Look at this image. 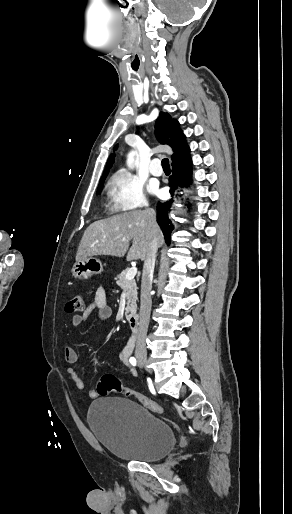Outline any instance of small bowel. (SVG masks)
<instances>
[{
	"mask_svg": "<svg viewBox=\"0 0 292 514\" xmlns=\"http://www.w3.org/2000/svg\"><path fill=\"white\" fill-rule=\"evenodd\" d=\"M94 312L97 314L98 319L102 322L111 319L113 316V309L107 302L106 291L103 287L97 288L93 300L82 314H76L71 318V325L75 328L80 327ZM129 354V349L125 348L120 354V360L128 368L129 373L132 376H135L136 371L129 364ZM64 360L69 365L66 368L67 375L74 383L75 388L79 391H83L85 389V382L72 366L78 361V354L73 347L66 346L64 348ZM88 395L91 398H96L98 396L95 390H90Z\"/></svg>",
	"mask_w": 292,
	"mask_h": 514,
	"instance_id": "small-bowel-1",
	"label": "small bowel"
}]
</instances>
